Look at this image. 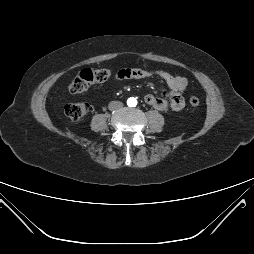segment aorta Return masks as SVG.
<instances>
[{
    "instance_id": "aorta-1",
    "label": "aorta",
    "mask_w": 254,
    "mask_h": 254,
    "mask_svg": "<svg viewBox=\"0 0 254 254\" xmlns=\"http://www.w3.org/2000/svg\"><path fill=\"white\" fill-rule=\"evenodd\" d=\"M136 103H137V100L135 99V98H129L128 100H127V104H128V106H130V107H134V106H136Z\"/></svg>"
}]
</instances>
